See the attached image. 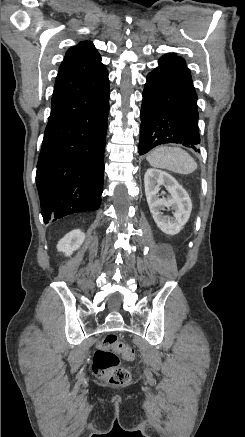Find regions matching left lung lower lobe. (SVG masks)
I'll return each mask as SVG.
<instances>
[{"mask_svg": "<svg viewBox=\"0 0 245 437\" xmlns=\"http://www.w3.org/2000/svg\"><path fill=\"white\" fill-rule=\"evenodd\" d=\"M176 143L199 151L197 94L183 58L167 53L147 76L141 108L139 154Z\"/></svg>", "mask_w": 245, "mask_h": 437, "instance_id": "left-lung-lower-lobe-1", "label": "left lung lower lobe"}]
</instances>
